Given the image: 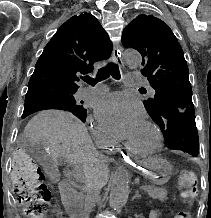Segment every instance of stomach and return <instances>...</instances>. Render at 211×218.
Wrapping results in <instances>:
<instances>
[{
    "mask_svg": "<svg viewBox=\"0 0 211 218\" xmlns=\"http://www.w3.org/2000/svg\"><path fill=\"white\" fill-rule=\"evenodd\" d=\"M137 170L157 185L165 184L171 175L172 167L169 162L160 157H151L143 161Z\"/></svg>",
    "mask_w": 211,
    "mask_h": 218,
    "instance_id": "0dacf381",
    "label": "stomach"
}]
</instances>
